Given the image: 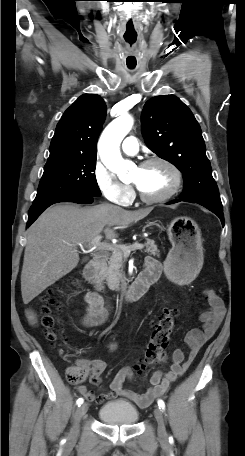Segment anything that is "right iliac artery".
Listing matches in <instances>:
<instances>
[{
    "label": "right iliac artery",
    "mask_w": 245,
    "mask_h": 456,
    "mask_svg": "<svg viewBox=\"0 0 245 456\" xmlns=\"http://www.w3.org/2000/svg\"><path fill=\"white\" fill-rule=\"evenodd\" d=\"M83 402H84V399H83V398H79V399L76 401V404H77L78 406H80L81 404H83Z\"/></svg>",
    "instance_id": "obj_1"
}]
</instances>
